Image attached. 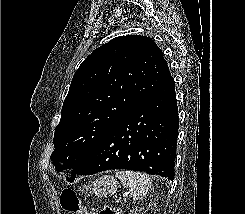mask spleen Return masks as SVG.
I'll use <instances>...</instances> for the list:
<instances>
[{"label": "spleen", "mask_w": 245, "mask_h": 214, "mask_svg": "<svg viewBox=\"0 0 245 214\" xmlns=\"http://www.w3.org/2000/svg\"><path fill=\"white\" fill-rule=\"evenodd\" d=\"M116 178L126 187L135 201L142 200L152 186L150 177L141 172L120 170L116 172Z\"/></svg>", "instance_id": "3e777b00"}]
</instances>
